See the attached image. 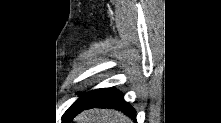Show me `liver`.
<instances>
[{"instance_id": "6515ba94", "label": "liver", "mask_w": 221, "mask_h": 123, "mask_svg": "<svg viewBox=\"0 0 221 123\" xmlns=\"http://www.w3.org/2000/svg\"><path fill=\"white\" fill-rule=\"evenodd\" d=\"M77 123H132L122 112L108 109H90L75 118Z\"/></svg>"}]
</instances>
